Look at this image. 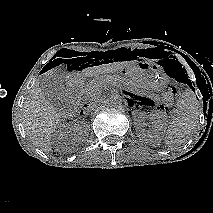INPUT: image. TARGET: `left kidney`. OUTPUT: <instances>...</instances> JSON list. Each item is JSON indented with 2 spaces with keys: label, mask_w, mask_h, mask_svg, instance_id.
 <instances>
[{
  "label": "left kidney",
  "mask_w": 213,
  "mask_h": 213,
  "mask_svg": "<svg viewBox=\"0 0 213 213\" xmlns=\"http://www.w3.org/2000/svg\"><path fill=\"white\" fill-rule=\"evenodd\" d=\"M149 118L153 121L154 129L152 131L145 129V120ZM135 128L139 138L142 140H149L152 138H159L165 129V117L162 113L154 111L150 115L144 112L134 113Z\"/></svg>",
  "instance_id": "1"
}]
</instances>
